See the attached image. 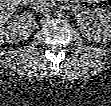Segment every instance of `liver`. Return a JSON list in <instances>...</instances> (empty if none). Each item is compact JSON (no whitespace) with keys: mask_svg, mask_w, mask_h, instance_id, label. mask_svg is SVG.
<instances>
[{"mask_svg":"<svg viewBox=\"0 0 111 106\" xmlns=\"http://www.w3.org/2000/svg\"><path fill=\"white\" fill-rule=\"evenodd\" d=\"M20 4L19 0H1L0 1V17H1V25L3 26L7 19L11 16L13 12L16 11L18 5ZM4 28L2 27L1 32V43H3V32Z\"/></svg>","mask_w":111,"mask_h":106,"instance_id":"liver-1","label":"liver"}]
</instances>
